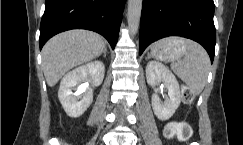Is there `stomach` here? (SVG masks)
<instances>
[{
	"label": "stomach",
	"instance_id": "obj_1",
	"mask_svg": "<svg viewBox=\"0 0 243 145\" xmlns=\"http://www.w3.org/2000/svg\"><path fill=\"white\" fill-rule=\"evenodd\" d=\"M176 38H168L155 43L151 48L152 57L170 62L180 59L186 52L184 43H175Z\"/></svg>",
	"mask_w": 243,
	"mask_h": 145
}]
</instances>
